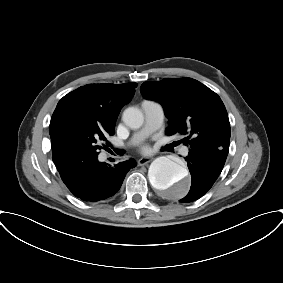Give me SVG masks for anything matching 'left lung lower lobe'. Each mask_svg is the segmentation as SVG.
I'll return each mask as SVG.
<instances>
[{
	"label": "left lung lower lobe",
	"mask_w": 283,
	"mask_h": 283,
	"mask_svg": "<svg viewBox=\"0 0 283 283\" xmlns=\"http://www.w3.org/2000/svg\"><path fill=\"white\" fill-rule=\"evenodd\" d=\"M186 161L191 173L192 184L189 193L180 201L192 202L203 196L212 187L222 169L207 166L200 159L191 155L186 157Z\"/></svg>",
	"instance_id": "0a47b994"
}]
</instances>
